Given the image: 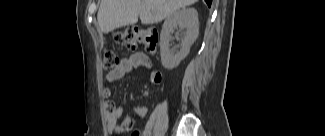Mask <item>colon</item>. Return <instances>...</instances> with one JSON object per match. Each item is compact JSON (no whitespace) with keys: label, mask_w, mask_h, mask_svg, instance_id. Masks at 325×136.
Here are the masks:
<instances>
[{"label":"colon","mask_w":325,"mask_h":136,"mask_svg":"<svg viewBox=\"0 0 325 136\" xmlns=\"http://www.w3.org/2000/svg\"><path fill=\"white\" fill-rule=\"evenodd\" d=\"M115 44L128 51H134L139 46H143L148 52L154 53L158 45V33L152 27H128L115 34ZM120 60L113 50H106L103 57V69L113 70ZM132 136H140L134 132Z\"/></svg>","instance_id":"5ec220e1"}]
</instances>
